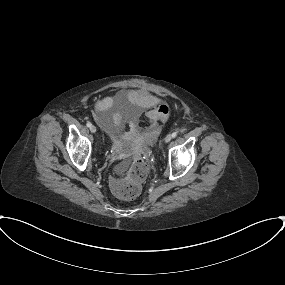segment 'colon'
I'll return each instance as SVG.
<instances>
[{"instance_id": "obj_1", "label": "colon", "mask_w": 285, "mask_h": 285, "mask_svg": "<svg viewBox=\"0 0 285 285\" xmlns=\"http://www.w3.org/2000/svg\"><path fill=\"white\" fill-rule=\"evenodd\" d=\"M153 113H148L146 121L151 124ZM147 174V165L142 160H134L126 173L113 180V193L120 199L130 200L136 198L141 191V184Z\"/></svg>"}]
</instances>
